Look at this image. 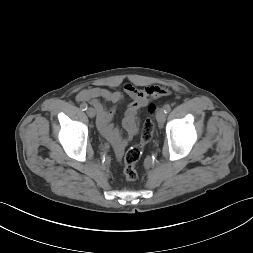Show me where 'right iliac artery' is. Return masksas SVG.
<instances>
[{
    "label": "right iliac artery",
    "mask_w": 253,
    "mask_h": 253,
    "mask_svg": "<svg viewBox=\"0 0 253 253\" xmlns=\"http://www.w3.org/2000/svg\"><path fill=\"white\" fill-rule=\"evenodd\" d=\"M80 108H81L83 111H85V110H87L88 106H87V104L82 103V104L80 105Z\"/></svg>",
    "instance_id": "right-iliac-artery-1"
}]
</instances>
